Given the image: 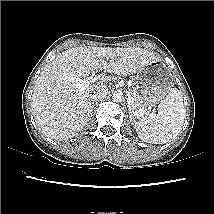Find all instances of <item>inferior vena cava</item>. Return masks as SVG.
<instances>
[{
    "label": "inferior vena cava",
    "instance_id": "1",
    "mask_svg": "<svg viewBox=\"0 0 214 214\" xmlns=\"http://www.w3.org/2000/svg\"><path fill=\"white\" fill-rule=\"evenodd\" d=\"M107 93H108L107 86L101 85L96 90H94L93 93L90 95V100L92 102L100 101L107 95Z\"/></svg>",
    "mask_w": 214,
    "mask_h": 214
}]
</instances>
